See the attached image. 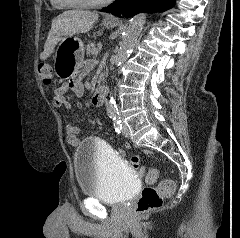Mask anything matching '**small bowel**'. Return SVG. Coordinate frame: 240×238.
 Segmentation results:
<instances>
[{
	"label": "small bowel",
	"instance_id": "c3829d8e",
	"mask_svg": "<svg viewBox=\"0 0 240 238\" xmlns=\"http://www.w3.org/2000/svg\"><path fill=\"white\" fill-rule=\"evenodd\" d=\"M94 67V62L92 61H87L85 62L80 70V76L85 75L88 73L92 68ZM71 90L76 96L80 97L84 94V86L81 83L80 79H74L69 82H63L60 86L57 88H54L52 90V103L54 106L58 108H65V109H70L71 105L67 98L65 97V94ZM66 140L67 143L70 146L76 147L80 140L78 138V135L80 133V128L78 126L72 125V124H67L66 125ZM134 144L133 143H123V148H133ZM120 154H127V149H120L119 150ZM137 156H130V161H131V167H135V170L137 171V174H146L147 167L142 166L141 161V152L137 151L136 152Z\"/></svg>",
	"mask_w": 240,
	"mask_h": 238
}]
</instances>
